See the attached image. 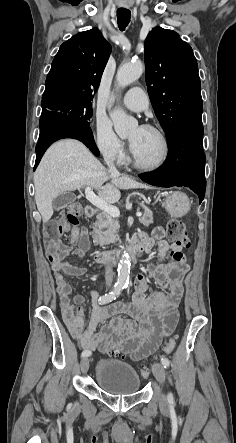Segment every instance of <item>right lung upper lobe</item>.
<instances>
[{
  "label": "right lung upper lobe",
  "mask_w": 236,
  "mask_h": 443,
  "mask_svg": "<svg viewBox=\"0 0 236 443\" xmlns=\"http://www.w3.org/2000/svg\"><path fill=\"white\" fill-rule=\"evenodd\" d=\"M111 52L98 28L80 32L64 42L54 57L42 102L59 95L92 100Z\"/></svg>",
  "instance_id": "1"
}]
</instances>
